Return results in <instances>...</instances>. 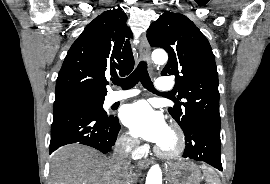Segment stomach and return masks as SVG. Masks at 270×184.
Masks as SVG:
<instances>
[{
    "label": "stomach",
    "instance_id": "stomach-1",
    "mask_svg": "<svg viewBox=\"0 0 270 184\" xmlns=\"http://www.w3.org/2000/svg\"><path fill=\"white\" fill-rule=\"evenodd\" d=\"M166 176L170 184H200L202 180L200 170L190 161L170 163Z\"/></svg>",
    "mask_w": 270,
    "mask_h": 184
}]
</instances>
